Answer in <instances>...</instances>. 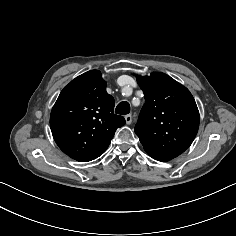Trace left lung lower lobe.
Returning a JSON list of instances; mask_svg holds the SVG:
<instances>
[{
	"label": "left lung lower lobe",
	"instance_id": "left-lung-lower-lobe-1",
	"mask_svg": "<svg viewBox=\"0 0 236 236\" xmlns=\"http://www.w3.org/2000/svg\"><path fill=\"white\" fill-rule=\"evenodd\" d=\"M149 156H151L152 158L158 160V161H169L175 157H177V155L174 154H168V153H157V152H148L146 151Z\"/></svg>",
	"mask_w": 236,
	"mask_h": 236
}]
</instances>
